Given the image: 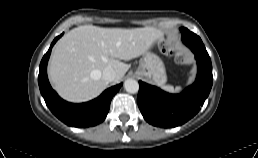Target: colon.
<instances>
[{
  "instance_id": "1",
  "label": "colon",
  "mask_w": 258,
  "mask_h": 158,
  "mask_svg": "<svg viewBox=\"0 0 258 158\" xmlns=\"http://www.w3.org/2000/svg\"><path fill=\"white\" fill-rule=\"evenodd\" d=\"M163 53L174 56L179 63H185L188 58V52H179L174 45V42L169 39H165L160 44Z\"/></svg>"
}]
</instances>
